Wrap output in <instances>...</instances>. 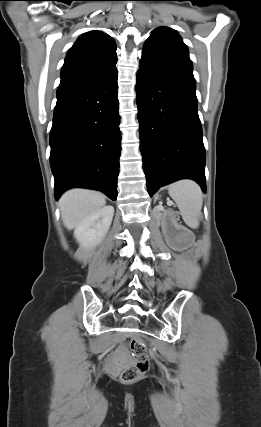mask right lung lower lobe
Returning a JSON list of instances; mask_svg holds the SVG:
<instances>
[{"mask_svg": "<svg viewBox=\"0 0 261 427\" xmlns=\"http://www.w3.org/2000/svg\"><path fill=\"white\" fill-rule=\"evenodd\" d=\"M117 70L57 94L50 132L55 198L73 187L117 199L121 133Z\"/></svg>", "mask_w": 261, "mask_h": 427, "instance_id": "1", "label": "right lung lower lobe"}]
</instances>
